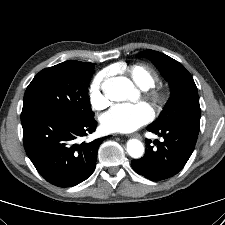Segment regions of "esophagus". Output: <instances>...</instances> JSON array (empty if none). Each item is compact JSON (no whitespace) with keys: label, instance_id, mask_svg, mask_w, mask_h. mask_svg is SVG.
Listing matches in <instances>:
<instances>
[{"label":"esophagus","instance_id":"34e87169","mask_svg":"<svg viewBox=\"0 0 225 225\" xmlns=\"http://www.w3.org/2000/svg\"><path fill=\"white\" fill-rule=\"evenodd\" d=\"M131 137H135L137 139L142 140V136L140 134H132Z\"/></svg>","mask_w":225,"mask_h":225}]
</instances>
